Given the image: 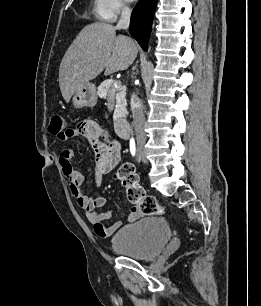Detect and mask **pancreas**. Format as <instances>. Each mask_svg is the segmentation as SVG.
I'll return each instance as SVG.
<instances>
[{
    "mask_svg": "<svg viewBox=\"0 0 261 306\" xmlns=\"http://www.w3.org/2000/svg\"><path fill=\"white\" fill-rule=\"evenodd\" d=\"M119 82V81H117ZM114 81L107 79L98 86L97 94L100 97L107 98V100H116V109L114 110V119L125 117L127 114L126 110V89L124 87H114Z\"/></svg>",
    "mask_w": 261,
    "mask_h": 306,
    "instance_id": "cf45deb5",
    "label": "pancreas"
}]
</instances>
